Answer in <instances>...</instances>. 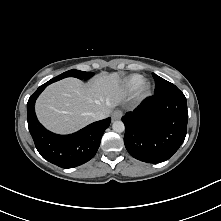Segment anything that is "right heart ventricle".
<instances>
[{
    "label": "right heart ventricle",
    "mask_w": 221,
    "mask_h": 221,
    "mask_svg": "<svg viewBox=\"0 0 221 221\" xmlns=\"http://www.w3.org/2000/svg\"><path fill=\"white\" fill-rule=\"evenodd\" d=\"M143 81L144 78L141 75L133 74L126 78V80L124 81V87L128 92H134L139 89Z\"/></svg>",
    "instance_id": "right-heart-ventricle-1"
}]
</instances>
